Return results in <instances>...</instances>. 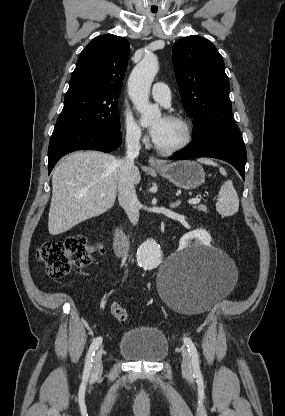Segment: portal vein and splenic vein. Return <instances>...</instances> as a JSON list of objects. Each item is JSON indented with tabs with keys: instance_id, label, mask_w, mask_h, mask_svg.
Returning <instances> with one entry per match:
<instances>
[{
	"instance_id": "obj_1",
	"label": "portal vein and splenic vein",
	"mask_w": 285,
	"mask_h": 416,
	"mask_svg": "<svg viewBox=\"0 0 285 416\" xmlns=\"http://www.w3.org/2000/svg\"><path fill=\"white\" fill-rule=\"evenodd\" d=\"M100 196H104V194H100ZM188 204H200L199 198H192V200H188Z\"/></svg>"
}]
</instances>
